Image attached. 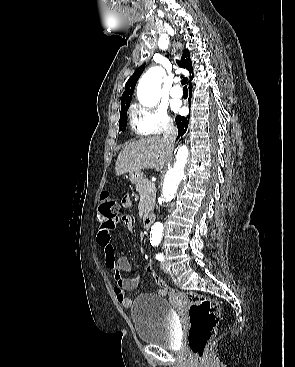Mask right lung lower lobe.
Masks as SVG:
<instances>
[{
  "label": "right lung lower lobe",
  "instance_id": "98d812e1",
  "mask_svg": "<svg viewBox=\"0 0 295 367\" xmlns=\"http://www.w3.org/2000/svg\"><path fill=\"white\" fill-rule=\"evenodd\" d=\"M190 115L184 116H176V125L178 128V138L182 137L187 130L189 123Z\"/></svg>",
  "mask_w": 295,
  "mask_h": 367
}]
</instances>
